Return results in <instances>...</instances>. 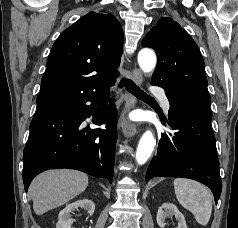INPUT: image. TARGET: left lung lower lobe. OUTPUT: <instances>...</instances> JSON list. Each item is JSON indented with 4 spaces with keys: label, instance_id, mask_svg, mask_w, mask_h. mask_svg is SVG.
I'll list each match as a JSON object with an SVG mask.
<instances>
[{
    "label": "left lung lower lobe",
    "instance_id": "1",
    "mask_svg": "<svg viewBox=\"0 0 238 228\" xmlns=\"http://www.w3.org/2000/svg\"><path fill=\"white\" fill-rule=\"evenodd\" d=\"M172 132L161 133L156 157L146 172L153 177H184L207 185L217 204L221 194L219 160L211 126L212 113L165 92ZM161 121L165 123V118Z\"/></svg>",
    "mask_w": 238,
    "mask_h": 228
}]
</instances>
